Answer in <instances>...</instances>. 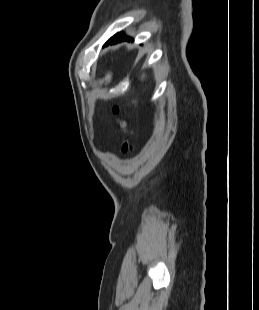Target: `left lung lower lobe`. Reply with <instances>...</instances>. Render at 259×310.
Listing matches in <instances>:
<instances>
[{"mask_svg":"<svg viewBox=\"0 0 259 310\" xmlns=\"http://www.w3.org/2000/svg\"><path fill=\"white\" fill-rule=\"evenodd\" d=\"M121 40L130 41L131 38L125 36L124 32H120V33L115 34L113 37H111L105 45H107L109 43H117L118 41H121Z\"/></svg>","mask_w":259,"mask_h":310,"instance_id":"obj_1","label":"left lung lower lobe"}]
</instances>
